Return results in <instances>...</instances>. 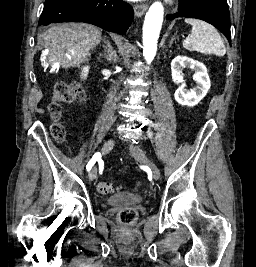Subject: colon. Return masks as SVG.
I'll use <instances>...</instances> for the list:
<instances>
[{"instance_id": "obj_1", "label": "colon", "mask_w": 256, "mask_h": 267, "mask_svg": "<svg viewBox=\"0 0 256 267\" xmlns=\"http://www.w3.org/2000/svg\"><path fill=\"white\" fill-rule=\"evenodd\" d=\"M84 98L85 94L80 85L71 83L59 85L54 89V100L49 105L48 112L53 119L57 120L63 114L62 105L82 101ZM52 134L59 141H63L66 136L64 128L60 124L53 125ZM98 190L103 194H111L116 190V187L110 182H100L98 184ZM136 217L137 212L135 209H123L119 212V223L122 224V227H125V224H132Z\"/></svg>"}]
</instances>
